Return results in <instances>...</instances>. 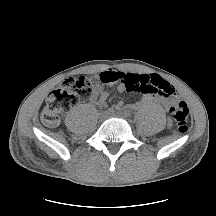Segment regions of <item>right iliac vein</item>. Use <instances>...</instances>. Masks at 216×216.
<instances>
[{
  "instance_id": "obj_1",
  "label": "right iliac vein",
  "mask_w": 216,
  "mask_h": 216,
  "mask_svg": "<svg viewBox=\"0 0 216 216\" xmlns=\"http://www.w3.org/2000/svg\"><path fill=\"white\" fill-rule=\"evenodd\" d=\"M107 113L103 112L100 114V119L103 120L106 117Z\"/></svg>"
}]
</instances>
